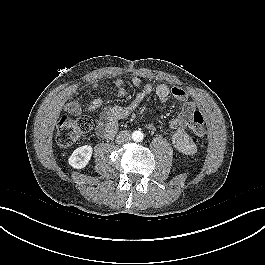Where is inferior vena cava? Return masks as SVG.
I'll list each match as a JSON object with an SVG mask.
<instances>
[{"instance_id": "602c4592", "label": "inferior vena cava", "mask_w": 265, "mask_h": 265, "mask_svg": "<svg viewBox=\"0 0 265 265\" xmlns=\"http://www.w3.org/2000/svg\"><path fill=\"white\" fill-rule=\"evenodd\" d=\"M131 140V135L128 131H121L117 136H116V143L117 144H123L127 143Z\"/></svg>"}]
</instances>
